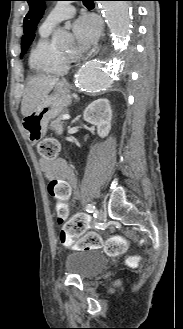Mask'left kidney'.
<instances>
[{
    "mask_svg": "<svg viewBox=\"0 0 183 329\" xmlns=\"http://www.w3.org/2000/svg\"><path fill=\"white\" fill-rule=\"evenodd\" d=\"M86 122L97 127L101 138L106 137L111 130L112 110L108 99H97L90 103L83 113Z\"/></svg>",
    "mask_w": 183,
    "mask_h": 329,
    "instance_id": "5707ae66",
    "label": "left kidney"
}]
</instances>
